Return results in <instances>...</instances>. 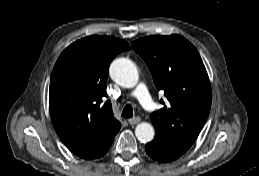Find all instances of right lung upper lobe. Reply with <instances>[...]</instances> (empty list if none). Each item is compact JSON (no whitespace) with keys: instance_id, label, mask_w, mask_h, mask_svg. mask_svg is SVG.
Here are the masks:
<instances>
[{"instance_id":"right-lung-upper-lobe-1","label":"right lung upper lobe","mask_w":259,"mask_h":176,"mask_svg":"<svg viewBox=\"0 0 259 176\" xmlns=\"http://www.w3.org/2000/svg\"><path fill=\"white\" fill-rule=\"evenodd\" d=\"M129 49L124 40L92 35L68 46L54 66L49 89L52 123L68 149L83 159L95 158L120 129L111 102L102 104V99L111 61Z\"/></svg>"}]
</instances>
